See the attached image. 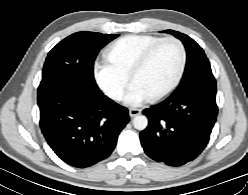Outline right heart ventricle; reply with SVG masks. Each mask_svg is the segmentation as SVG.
I'll return each mask as SVG.
<instances>
[{
    "label": "right heart ventricle",
    "mask_w": 248,
    "mask_h": 195,
    "mask_svg": "<svg viewBox=\"0 0 248 195\" xmlns=\"http://www.w3.org/2000/svg\"><path fill=\"white\" fill-rule=\"evenodd\" d=\"M161 41L162 39L158 37L144 38L133 49L123 50L116 58L119 69L128 72L136 60L146 55Z\"/></svg>",
    "instance_id": "obj_1"
}]
</instances>
